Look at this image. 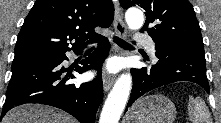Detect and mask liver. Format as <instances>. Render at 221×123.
<instances>
[{
  "label": "liver",
  "mask_w": 221,
  "mask_h": 123,
  "mask_svg": "<svg viewBox=\"0 0 221 123\" xmlns=\"http://www.w3.org/2000/svg\"><path fill=\"white\" fill-rule=\"evenodd\" d=\"M2 123H76L67 113L39 104H24L6 113Z\"/></svg>",
  "instance_id": "6515ba94"
}]
</instances>
